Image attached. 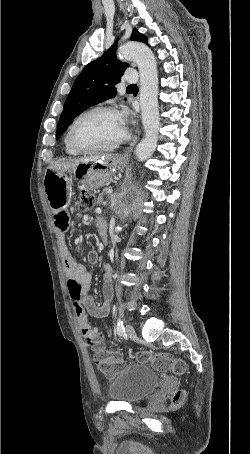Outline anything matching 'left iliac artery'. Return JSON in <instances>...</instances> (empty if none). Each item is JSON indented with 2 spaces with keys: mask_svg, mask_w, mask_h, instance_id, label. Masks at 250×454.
Wrapping results in <instances>:
<instances>
[{
  "mask_svg": "<svg viewBox=\"0 0 250 454\" xmlns=\"http://www.w3.org/2000/svg\"><path fill=\"white\" fill-rule=\"evenodd\" d=\"M116 332L119 336H121L123 332H125L124 324L121 318L117 319Z\"/></svg>",
  "mask_w": 250,
  "mask_h": 454,
  "instance_id": "left-iliac-artery-1",
  "label": "left iliac artery"
}]
</instances>
